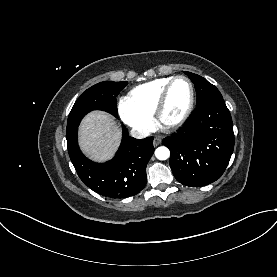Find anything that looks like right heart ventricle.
Here are the masks:
<instances>
[{
    "label": "right heart ventricle",
    "mask_w": 277,
    "mask_h": 277,
    "mask_svg": "<svg viewBox=\"0 0 277 277\" xmlns=\"http://www.w3.org/2000/svg\"><path fill=\"white\" fill-rule=\"evenodd\" d=\"M172 78H159L136 86L125 99L135 110L151 117L164 87Z\"/></svg>",
    "instance_id": "e07e8e85"
}]
</instances>
